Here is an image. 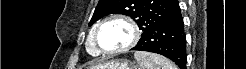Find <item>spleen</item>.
Segmentation results:
<instances>
[{
	"instance_id": "1",
	"label": "spleen",
	"mask_w": 246,
	"mask_h": 69,
	"mask_svg": "<svg viewBox=\"0 0 246 69\" xmlns=\"http://www.w3.org/2000/svg\"><path fill=\"white\" fill-rule=\"evenodd\" d=\"M134 58L139 69H178L173 62L158 54L136 51Z\"/></svg>"
}]
</instances>
